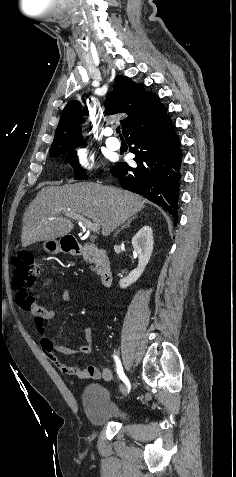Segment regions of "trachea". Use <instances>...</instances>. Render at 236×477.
<instances>
[{
	"label": "trachea",
	"instance_id": "obj_1",
	"mask_svg": "<svg viewBox=\"0 0 236 477\" xmlns=\"http://www.w3.org/2000/svg\"><path fill=\"white\" fill-rule=\"evenodd\" d=\"M116 133H119V134H120V126H118V127L116 128ZM120 137H122L121 134H120Z\"/></svg>",
	"mask_w": 236,
	"mask_h": 477
}]
</instances>
